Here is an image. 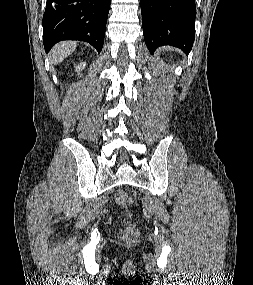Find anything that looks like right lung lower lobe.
I'll list each match as a JSON object with an SVG mask.
<instances>
[{"mask_svg": "<svg viewBox=\"0 0 253 285\" xmlns=\"http://www.w3.org/2000/svg\"><path fill=\"white\" fill-rule=\"evenodd\" d=\"M111 0H47L43 15L46 52L59 41L81 40L100 53Z\"/></svg>", "mask_w": 253, "mask_h": 285, "instance_id": "right-lung-lower-lobe-1", "label": "right lung lower lobe"}]
</instances>
